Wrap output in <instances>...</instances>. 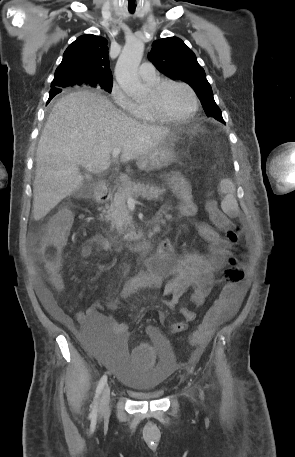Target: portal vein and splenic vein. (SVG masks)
Wrapping results in <instances>:
<instances>
[{
	"mask_svg": "<svg viewBox=\"0 0 295 457\" xmlns=\"http://www.w3.org/2000/svg\"><path fill=\"white\" fill-rule=\"evenodd\" d=\"M121 153V148H115L112 152V157L113 158H117ZM128 202H134V198L133 197H128L127 199Z\"/></svg>",
	"mask_w": 295,
	"mask_h": 457,
	"instance_id": "obj_1",
	"label": "portal vein and splenic vein"
}]
</instances>
